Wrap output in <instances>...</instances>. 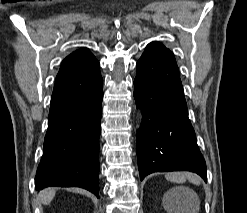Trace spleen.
Returning a JSON list of instances; mask_svg holds the SVG:
<instances>
[{"mask_svg": "<svg viewBox=\"0 0 247 213\" xmlns=\"http://www.w3.org/2000/svg\"><path fill=\"white\" fill-rule=\"evenodd\" d=\"M166 179L170 182L174 183H184L186 179H188L191 183L199 185L201 183L200 179L198 176L191 174V173H184V172H173V173H167L165 175ZM175 189L169 191L167 193L168 196H172L174 193ZM181 205V201H176V205ZM176 207L172 205H168V210L169 213H176ZM194 213V212H193Z\"/></svg>", "mask_w": 247, "mask_h": 213, "instance_id": "obj_1", "label": "spleen"}]
</instances>
